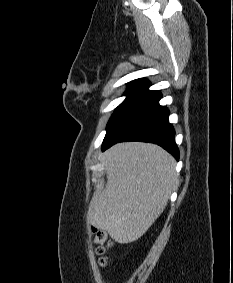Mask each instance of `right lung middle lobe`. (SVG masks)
Returning <instances> with one entry per match:
<instances>
[{
  "label": "right lung middle lobe",
  "instance_id": "dd1d6c3e",
  "mask_svg": "<svg viewBox=\"0 0 233 283\" xmlns=\"http://www.w3.org/2000/svg\"><path fill=\"white\" fill-rule=\"evenodd\" d=\"M150 86L149 82H132L128 85L126 92L124 93L126 99L117 107L113 115L111 116L107 127H106V135L104 141L108 138V136L112 133L121 119L126 115V113L130 110L139 96Z\"/></svg>",
  "mask_w": 233,
  "mask_h": 283
}]
</instances>
